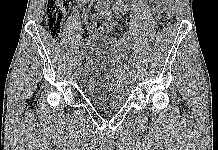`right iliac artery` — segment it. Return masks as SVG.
<instances>
[{"instance_id":"82829eb1","label":"right iliac artery","mask_w":218,"mask_h":150,"mask_svg":"<svg viewBox=\"0 0 218 150\" xmlns=\"http://www.w3.org/2000/svg\"><path fill=\"white\" fill-rule=\"evenodd\" d=\"M106 10V9H105ZM104 13H105V11H104V9H103V7L101 8L100 7V9H98V12L94 15V18H100V17H102L103 15H104ZM80 54H79V57H81V55L84 53L82 50L79 52Z\"/></svg>"}]
</instances>
